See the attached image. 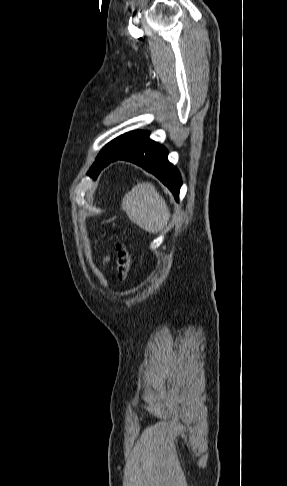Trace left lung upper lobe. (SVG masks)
I'll use <instances>...</instances> for the list:
<instances>
[{
    "mask_svg": "<svg viewBox=\"0 0 287 486\" xmlns=\"http://www.w3.org/2000/svg\"><path fill=\"white\" fill-rule=\"evenodd\" d=\"M148 140L147 131H132L115 138L101 150L87 175L95 179L105 161L138 150Z\"/></svg>",
    "mask_w": 287,
    "mask_h": 486,
    "instance_id": "1",
    "label": "left lung upper lobe"
}]
</instances>
